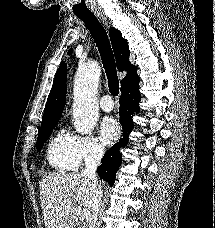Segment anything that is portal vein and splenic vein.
<instances>
[{
	"label": "portal vein and splenic vein",
	"mask_w": 215,
	"mask_h": 228,
	"mask_svg": "<svg viewBox=\"0 0 215 228\" xmlns=\"http://www.w3.org/2000/svg\"><path fill=\"white\" fill-rule=\"evenodd\" d=\"M68 206H71L72 204V200H70V202H67ZM83 220H89V212H87V210H81L80 212Z\"/></svg>",
	"instance_id": "1"
}]
</instances>
